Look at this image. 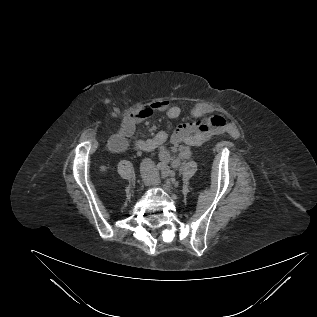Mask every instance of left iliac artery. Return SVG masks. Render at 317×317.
Returning <instances> with one entry per match:
<instances>
[{"mask_svg":"<svg viewBox=\"0 0 317 317\" xmlns=\"http://www.w3.org/2000/svg\"><path fill=\"white\" fill-rule=\"evenodd\" d=\"M163 176L166 177V176H169V169L168 168H165L162 172Z\"/></svg>","mask_w":317,"mask_h":317,"instance_id":"44dca946","label":"left iliac artery"}]
</instances>
